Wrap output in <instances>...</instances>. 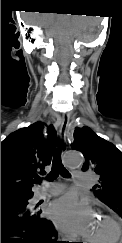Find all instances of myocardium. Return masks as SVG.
I'll return each instance as SVG.
<instances>
[{
	"mask_svg": "<svg viewBox=\"0 0 122 243\" xmlns=\"http://www.w3.org/2000/svg\"><path fill=\"white\" fill-rule=\"evenodd\" d=\"M100 218L108 224V233L101 238H89L90 243H116L122 234L119 221L109 214H101Z\"/></svg>",
	"mask_w": 122,
	"mask_h": 243,
	"instance_id": "1",
	"label": "myocardium"
}]
</instances>
